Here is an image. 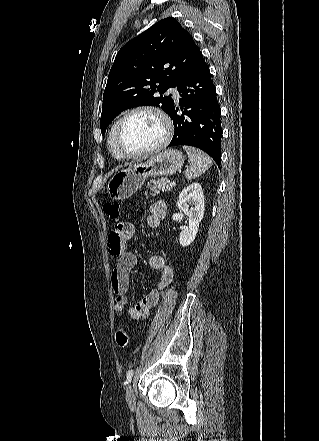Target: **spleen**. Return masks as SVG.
Returning a JSON list of instances; mask_svg holds the SVG:
<instances>
[{
	"instance_id": "1",
	"label": "spleen",
	"mask_w": 319,
	"mask_h": 441,
	"mask_svg": "<svg viewBox=\"0 0 319 441\" xmlns=\"http://www.w3.org/2000/svg\"><path fill=\"white\" fill-rule=\"evenodd\" d=\"M183 149L187 152L190 161V166L185 171L187 179L197 178L211 167V158L200 149L188 146H183Z\"/></svg>"
}]
</instances>
